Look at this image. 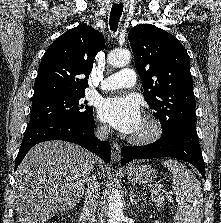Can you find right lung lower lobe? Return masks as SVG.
Here are the masks:
<instances>
[{
    "instance_id": "right-lung-lower-lobe-1",
    "label": "right lung lower lobe",
    "mask_w": 221,
    "mask_h": 223,
    "mask_svg": "<svg viewBox=\"0 0 221 223\" xmlns=\"http://www.w3.org/2000/svg\"><path fill=\"white\" fill-rule=\"evenodd\" d=\"M93 117L83 122L63 119H52L32 126H27L24 138L15 161V169L27 152L36 144L49 140H64L78 144L94 152L106 163L111 158V147L106 141L98 140L94 135Z\"/></svg>"
}]
</instances>
